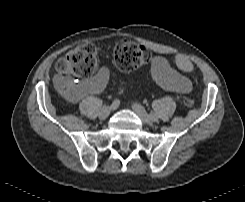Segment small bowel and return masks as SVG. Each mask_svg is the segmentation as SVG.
<instances>
[{
    "instance_id": "c3829d8e",
    "label": "small bowel",
    "mask_w": 245,
    "mask_h": 202,
    "mask_svg": "<svg viewBox=\"0 0 245 202\" xmlns=\"http://www.w3.org/2000/svg\"><path fill=\"white\" fill-rule=\"evenodd\" d=\"M183 63H188L190 69L192 68L190 61L186 57L181 54H176L174 56L175 66L179 70L187 72L182 68ZM148 77L161 87L175 93H187L192 86L191 80L187 76L173 68L162 57H155L152 60L148 70ZM109 78L110 71L102 67L91 78L76 82L72 91L66 96L68 104H76L89 95L101 93L106 88Z\"/></svg>"
}]
</instances>
